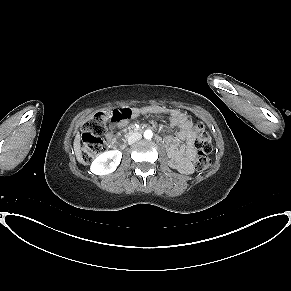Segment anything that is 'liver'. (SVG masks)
Returning <instances> with one entry per match:
<instances>
[{"instance_id":"liver-1","label":"liver","mask_w":291,"mask_h":291,"mask_svg":"<svg viewBox=\"0 0 291 291\" xmlns=\"http://www.w3.org/2000/svg\"><path fill=\"white\" fill-rule=\"evenodd\" d=\"M73 147H74L76 158L81 163L82 162V154H81V150H80L81 145H80V134L79 133H77V135L75 137Z\"/></svg>"}]
</instances>
